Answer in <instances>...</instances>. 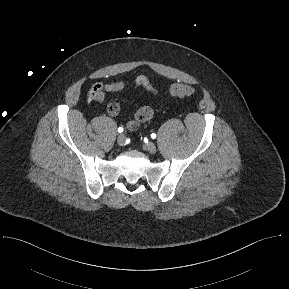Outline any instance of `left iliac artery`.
<instances>
[{
	"label": "left iliac artery",
	"mask_w": 289,
	"mask_h": 289,
	"mask_svg": "<svg viewBox=\"0 0 289 289\" xmlns=\"http://www.w3.org/2000/svg\"><path fill=\"white\" fill-rule=\"evenodd\" d=\"M151 138H152V139H155V138H156V134H155V133H152V134H151Z\"/></svg>",
	"instance_id": "44dca946"
}]
</instances>
